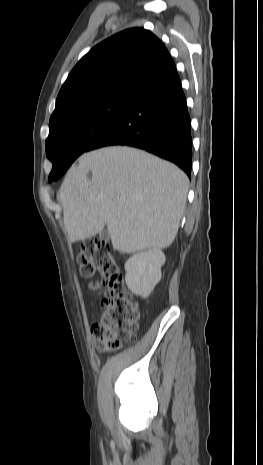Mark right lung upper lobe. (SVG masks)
I'll return each instance as SVG.
<instances>
[{"instance_id": "obj_1", "label": "right lung upper lobe", "mask_w": 263, "mask_h": 465, "mask_svg": "<svg viewBox=\"0 0 263 465\" xmlns=\"http://www.w3.org/2000/svg\"><path fill=\"white\" fill-rule=\"evenodd\" d=\"M174 72L168 50L153 33L144 28L124 30L81 58L63 84L50 119L92 100L134 97Z\"/></svg>"}]
</instances>
